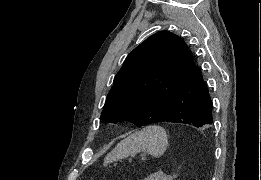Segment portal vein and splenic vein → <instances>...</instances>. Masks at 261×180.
<instances>
[{"label":"portal vein and splenic vein","mask_w":261,"mask_h":180,"mask_svg":"<svg viewBox=\"0 0 261 180\" xmlns=\"http://www.w3.org/2000/svg\"><path fill=\"white\" fill-rule=\"evenodd\" d=\"M140 158H145V153H140Z\"/></svg>","instance_id":"portal-vein-and-splenic-vein-1"}]
</instances>
